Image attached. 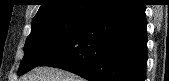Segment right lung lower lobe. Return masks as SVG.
I'll return each instance as SVG.
<instances>
[{
	"mask_svg": "<svg viewBox=\"0 0 169 81\" xmlns=\"http://www.w3.org/2000/svg\"><path fill=\"white\" fill-rule=\"evenodd\" d=\"M146 25L141 1L121 0L88 19L39 66L61 68L89 81H144Z\"/></svg>",
	"mask_w": 169,
	"mask_h": 81,
	"instance_id": "98d812e1",
	"label": "right lung lower lobe"
}]
</instances>
